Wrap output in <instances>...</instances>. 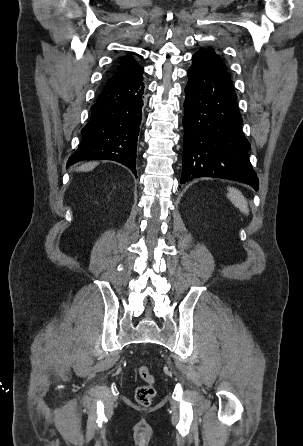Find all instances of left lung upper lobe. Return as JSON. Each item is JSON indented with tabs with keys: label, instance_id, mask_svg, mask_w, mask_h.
<instances>
[{
	"label": "left lung upper lobe",
	"instance_id": "left-lung-upper-lobe-1",
	"mask_svg": "<svg viewBox=\"0 0 303 446\" xmlns=\"http://www.w3.org/2000/svg\"><path fill=\"white\" fill-rule=\"evenodd\" d=\"M195 54H203L208 57L209 60L212 61L214 65H216L218 68L223 70L224 72L228 73L226 64L222 61L221 57L215 52L213 48H207V49H201ZM230 75V74H229Z\"/></svg>",
	"mask_w": 303,
	"mask_h": 446
}]
</instances>
